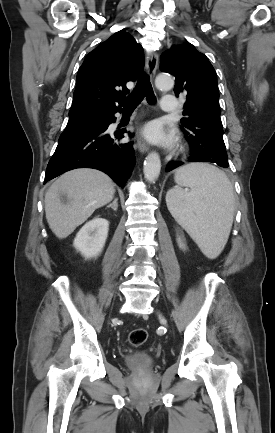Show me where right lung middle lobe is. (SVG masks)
<instances>
[{
  "label": "right lung middle lobe",
  "mask_w": 275,
  "mask_h": 433,
  "mask_svg": "<svg viewBox=\"0 0 275 433\" xmlns=\"http://www.w3.org/2000/svg\"><path fill=\"white\" fill-rule=\"evenodd\" d=\"M90 117H91V115H89V116H84V117H79V118H74V119H69L68 124H67L66 127L73 126V125H76V124H79V123L85 122V121H87Z\"/></svg>",
  "instance_id": "1"
}]
</instances>
